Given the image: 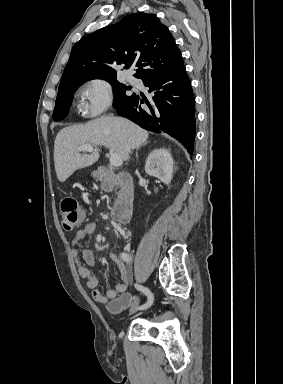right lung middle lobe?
<instances>
[{
	"instance_id": "obj_1",
	"label": "right lung middle lobe",
	"mask_w": 283,
	"mask_h": 384,
	"mask_svg": "<svg viewBox=\"0 0 283 384\" xmlns=\"http://www.w3.org/2000/svg\"><path fill=\"white\" fill-rule=\"evenodd\" d=\"M113 86L114 91V105L121 102L124 99L129 98L125 95L126 90H130L129 87L119 83L116 79L107 80ZM83 83H69L59 86L58 95L56 98L55 109L53 112V120L60 121L64 119L72 103L73 94Z\"/></svg>"
}]
</instances>
